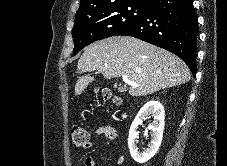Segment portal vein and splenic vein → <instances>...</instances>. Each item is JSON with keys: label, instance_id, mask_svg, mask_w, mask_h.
Wrapping results in <instances>:
<instances>
[{"label": "portal vein and splenic vein", "instance_id": "obj_1", "mask_svg": "<svg viewBox=\"0 0 227 166\" xmlns=\"http://www.w3.org/2000/svg\"><path fill=\"white\" fill-rule=\"evenodd\" d=\"M123 81L130 86H138L136 82L130 81L127 76L123 77Z\"/></svg>", "mask_w": 227, "mask_h": 166}]
</instances>
